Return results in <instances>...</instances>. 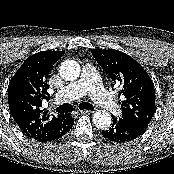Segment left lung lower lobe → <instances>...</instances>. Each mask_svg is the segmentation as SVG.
Listing matches in <instances>:
<instances>
[{
    "instance_id": "left-lung-lower-lobe-1",
    "label": "left lung lower lobe",
    "mask_w": 174,
    "mask_h": 174,
    "mask_svg": "<svg viewBox=\"0 0 174 174\" xmlns=\"http://www.w3.org/2000/svg\"><path fill=\"white\" fill-rule=\"evenodd\" d=\"M145 131V128L113 116L112 126L109 129L102 131V135L107 140L124 143L137 139Z\"/></svg>"
}]
</instances>
